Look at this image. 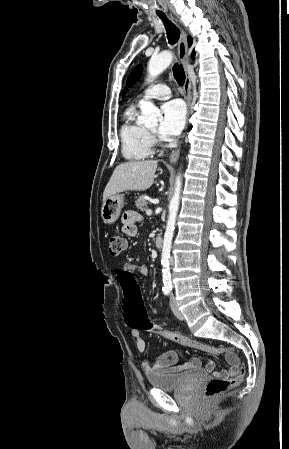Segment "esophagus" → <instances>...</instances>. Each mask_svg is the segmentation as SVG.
Instances as JSON below:
<instances>
[{
    "label": "esophagus",
    "instance_id": "esophagus-1",
    "mask_svg": "<svg viewBox=\"0 0 289 449\" xmlns=\"http://www.w3.org/2000/svg\"><path fill=\"white\" fill-rule=\"evenodd\" d=\"M178 55L180 61L183 63L184 66H186L189 62V50H188V44H187V36L184 31L181 33L180 41L178 44ZM191 80L189 75L186 76L185 84H184V98L187 104V119L190 114L191 110ZM180 154V148H177L175 151L172 152L170 155V162L174 163L177 161Z\"/></svg>",
    "mask_w": 289,
    "mask_h": 449
}]
</instances>
